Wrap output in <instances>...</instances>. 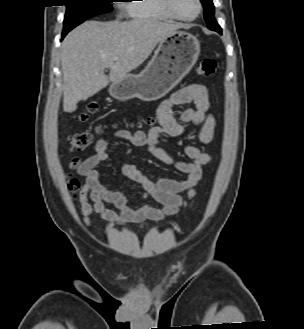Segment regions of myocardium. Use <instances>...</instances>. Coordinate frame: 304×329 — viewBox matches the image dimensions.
Listing matches in <instances>:
<instances>
[{
    "label": "myocardium",
    "instance_id": "1",
    "mask_svg": "<svg viewBox=\"0 0 304 329\" xmlns=\"http://www.w3.org/2000/svg\"><path fill=\"white\" fill-rule=\"evenodd\" d=\"M198 4V11L197 13L192 16V17H185L180 14H178L173 6V0H162L163 6L166 9V11L169 13V15L177 20H182V21H193L196 18L199 17V15L202 13L203 10V4L201 0H196Z\"/></svg>",
    "mask_w": 304,
    "mask_h": 329
}]
</instances>
